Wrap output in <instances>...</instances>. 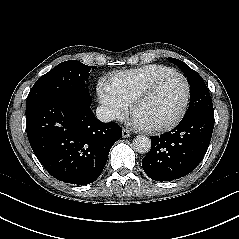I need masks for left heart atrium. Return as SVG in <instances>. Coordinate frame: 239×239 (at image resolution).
Wrapping results in <instances>:
<instances>
[{"mask_svg": "<svg viewBox=\"0 0 239 239\" xmlns=\"http://www.w3.org/2000/svg\"><path fill=\"white\" fill-rule=\"evenodd\" d=\"M133 125H134L136 128H139V129H145V128H147V126H146L141 120H139L137 117H134V119H133Z\"/></svg>", "mask_w": 239, "mask_h": 239, "instance_id": "left-heart-atrium-1", "label": "left heart atrium"}]
</instances>
